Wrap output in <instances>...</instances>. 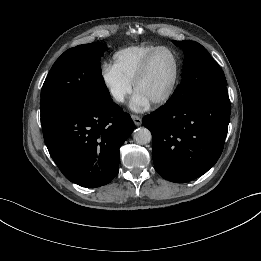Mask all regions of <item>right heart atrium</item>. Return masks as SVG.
Returning a JSON list of instances; mask_svg holds the SVG:
<instances>
[{
    "mask_svg": "<svg viewBox=\"0 0 261 261\" xmlns=\"http://www.w3.org/2000/svg\"><path fill=\"white\" fill-rule=\"evenodd\" d=\"M100 77L109 96L116 104H123L132 93V82L123 77L112 64L102 65Z\"/></svg>",
    "mask_w": 261,
    "mask_h": 261,
    "instance_id": "obj_1",
    "label": "right heart atrium"
}]
</instances>
